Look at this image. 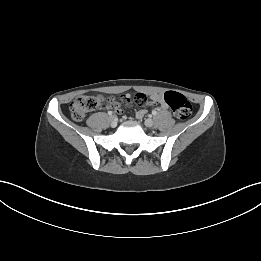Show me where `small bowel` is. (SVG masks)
Wrapping results in <instances>:
<instances>
[{"label":"small bowel","mask_w":261,"mask_h":261,"mask_svg":"<svg viewBox=\"0 0 261 261\" xmlns=\"http://www.w3.org/2000/svg\"><path fill=\"white\" fill-rule=\"evenodd\" d=\"M119 99L127 106L132 105V103L136 107H149L151 104H158L163 110H167L169 108V105L164 100L163 94L160 93H153L149 97L142 91L135 93V95H130L128 92H123L120 94ZM119 99L116 96L108 98L107 101L102 104L103 109L108 110L111 107L115 109L116 115H123L124 110L120 107ZM145 112V109L139 110L137 113L138 117H142Z\"/></svg>","instance_id":"1"}]
</instances>
